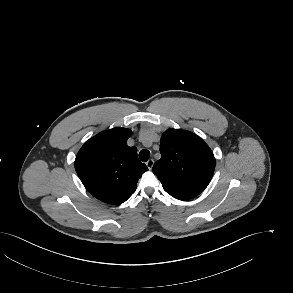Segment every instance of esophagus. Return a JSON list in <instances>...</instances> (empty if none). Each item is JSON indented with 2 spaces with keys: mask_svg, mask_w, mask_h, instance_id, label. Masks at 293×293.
<instances>
[{
  "mask_svg": "<svg viewBox=\"0 0 293 293\" xmlns=\"http://www.w3.org/2000/svg\"><path fill=\"white\" fill-rule=\"evenodd\" d=\"M146 165L148 167L149 170L152 169L153 165H154V160L153 159H149L147 162H146Z\"/></svg>",
  "mask_w": 293,
  "mask_h": 293,
  "instance_id": "esophagus-1",
  "label": "esophagus"
}]
</instances>
